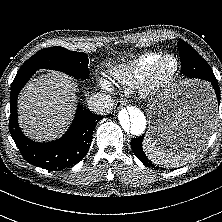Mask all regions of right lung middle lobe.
<instances>
[{
  "label": "right lung middle lobe",
  "mask_w": 222,
  "mask_h": 222,
  "mask_svg": "<svg viewBox=\"0 0 222 222\" xmlns=\"http://www.w3.org/2000/svg\"><path fill=\"white\" fill-rule=\"evenodd\" d=\"M88 55L64 47L44 48L29 58L19 70L53 69L75 78L89 77Z\"/></svg>",
  "instance_id": "right-lung-middle-lobe-1"
}]
</instances>
